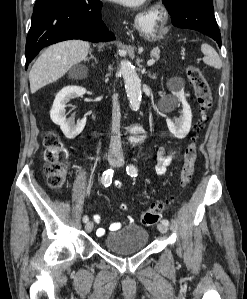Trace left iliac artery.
<instances>
[{"label":"left iliac artery","mask_w":247,"mask_h":299,"mask_svg":"<svg viewBox=\"0 0 247 299\" xmlns=\"http://www.w3.org/2000/svg\"><path fill=\"white\" fill-rule=\"evenodd\" d=\"M126 170H127V174L130 175L131 177H136L137 176L138 170L133 164H129L127 166ZM162 223H164L167 226L169 225V221L167 219H163Z\"/></svg>","instance_id":"44dca946"}]
</instances>
